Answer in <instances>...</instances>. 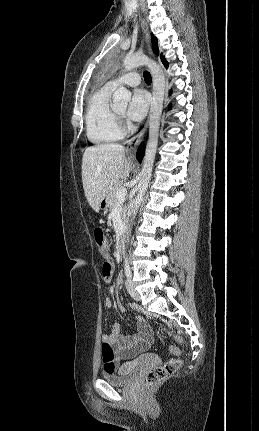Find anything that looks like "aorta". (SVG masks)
<instances>
[{
    "mask_svg": "<svg viewBox=\"0 0 259 431\" xmlns=\"http://www.w3.org/2000/svg\"><path fill=\"white\" fill-rule=\"evenodd\" d=\"M123 65L125 71H130L139 66H147L150 69L153 78V98L149 116V139L146 145L145 156L140 173V181L138 183V194L134 200L132 218L130 220L132 223L136 212L143 201L152 175V169L158 145L159 127L165 94V75L162 68L158 64L143 54L126 55ZM130 100L131 92L123 86L119 87L113 94V104L115 107L125 108L127 107Z\"/></svg>",
    "mask_w": 259,
    "mask_h": 431,
    "instance_id": "aorta-1",
    "label": "aorta"
}]
</instances>
